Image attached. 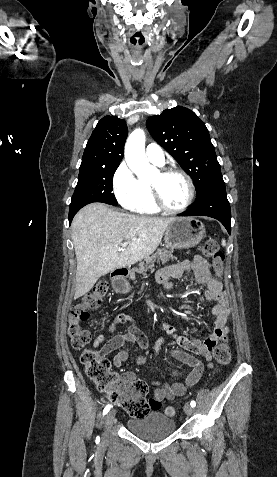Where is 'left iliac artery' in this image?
<instances>
[{
	"label": "left iliac artery",
	"instance_id": "obj_1",
	"mask_svg": "<svg viewBox=\"0 0 277 477\" xmlns=\"http://www.w3.org/2000/svg\"><path fill=\"white\" fill-rule=\"evenodd\" d=\"M190 405H191L192 407H195V406H196V402H195V401H191V402H190Z\"/></svg>",
	"mask_w": 277,
	"mask_h": 477
}]
</instances>
